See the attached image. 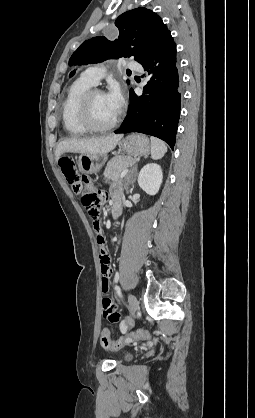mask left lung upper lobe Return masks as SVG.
Returning a JSON list of instances; mask_svg holds the SVG:
<instances>
[{
	"label": "left lung upper lobe",
	"instance_id": "obj_1",
	"mask_svg": "<svg viewBox=\"0 0 255 418\" xmlns=\"http://www.w3.org/2000/svg\"><path fill=\"white\" fill-rule=\"evenodd\" d=\"M115 25L119 30L118 39L112 41L98 36L83 42L71 56L69 64L86 65L130 56L142 64L161 51L172 38L161 18L146 8L123 13Z\"/></svg>",
	"mask_w": 255,
	"mask_h": 418
}]
</instances>
